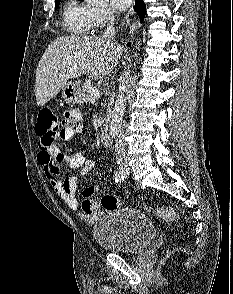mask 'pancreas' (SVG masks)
<instances>
[{"label": "pancreas", "instance_id": "pancreas-1", "mask_svg": "<svg viewBox=\"0 0 233 294\" xmlns=\"http://www.w3.org/2000/svg\"><path fill=\"white\" fill-rule=\"evenodd\" d=\"M93 88L92 83L85 82L81 88V98L83 102H89L93 97L90 94V90Z\"/></svg>", "mask_w": 233, "mask_h": 294}]
</instances>
